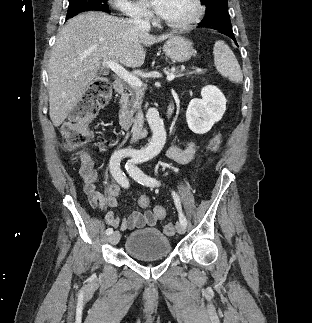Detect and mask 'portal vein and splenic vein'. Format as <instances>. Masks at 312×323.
<instances>
[{"label":"portal vein and splenic vein","mask_w":312,"mask_h":323,"mask_svg":"<svg viewBox=\"0 0 312 323\" xmlns=\"http://www.w3.org/2000/svg\"><path fill=\"white\" fill-rule=\"evenodd\" d=\"M102 66H106V68H110L112 72H115L119 78H123L124 82H128L130 86H135V88H140V86H143V82L139 80V78H136V76H132V74H129L125 68H122L120 64H116V62H102ZM176 74H169L167 76L168 82H171V80H174Z\"/></svg>","instance_id":"18ae733b"}]
</instances>
